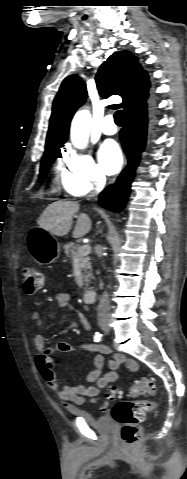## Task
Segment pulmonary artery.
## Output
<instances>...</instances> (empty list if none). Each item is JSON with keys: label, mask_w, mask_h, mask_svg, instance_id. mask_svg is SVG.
Segmentation results:
<instances>
[{"label": "pulmonary artery", "mask_w": 187, "mask_h": 479, "mask_svg": "<svg viewBox=\"0 0 187 479\" xmlns=\"http://www.w3.org/2000/svg\"><path fill=\"white\" fill-rule=\"evenodd\" d=\"M102 132L108 136L116 134L117 128L114 124V120L111 115L105 118L104 123L102 125Z\"/></svg>", "instance_id": "1"}]
</instances>
